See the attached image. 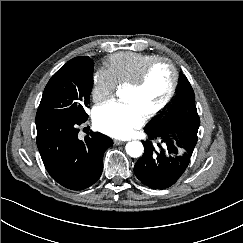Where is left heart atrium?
<instances>
[{"instance_id":"39dd6f15","label":"left heart atrium","mask_w":243,"mask_h":243,"mask_svg":"<svg viewBox=\"0 0 243 243\" xmlns=\"http://www.w3.org/2000/svg\"><path fill=\"white\" fill-rule=\"evenodd\" d=\"M93 121L101 132L124 138L143 123L144 114L131 102H109L95 109Z\"/></svg>"}]
</instances>
